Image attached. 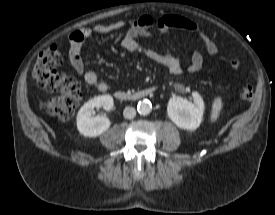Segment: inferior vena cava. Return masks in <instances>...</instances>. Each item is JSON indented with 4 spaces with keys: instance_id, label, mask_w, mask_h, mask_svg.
Instances as JSON below:
<instances>
[{
    "instance_id": "1",
    "label": "inferior vena cava",
    "mask_w": 275,
    "mask_h": 215,
    "mask_svg": "<svg viewBox=\"0 0 275 215\" xmlns=\"http://www.w3.org/2000/svg\"><path fill=\"white\" fill-rule=\"evenodd\" d=\"M123 115L126 119H132L136 115V110L133 107H126L123 111Z\"/></svg>"
}]
</instances>
